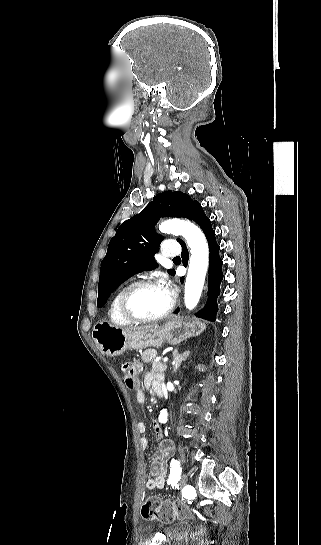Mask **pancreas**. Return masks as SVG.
Wrapping results in <instances>:
<instances>
[{
  "instance_id": "1",
  "label": "pancreas",
  "mask_w": 321,
  "mask_h": 545,
  "mask_svg": "<svg viewBox=\"0 0 321 545\" xmlns=\"http://www.w3.org/2000/svg\"><path fill=\"white\" fill-rule=\"evenodd\" d=\"M167 367L165 363H161V361H153L152 363V373H164L166 371Z\"/></svg>"
}]
</instances>
